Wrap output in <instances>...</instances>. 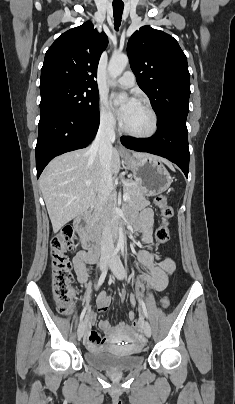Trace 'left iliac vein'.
<instances>
[{"label":"left iliac vein","instance_id":"left-iliac-vein-1","mask_svg":"<svg viewBox=\"0 0 235 404\" xmlns=\"http://www.w3.org/2000/svg\"><path fill=\"white\" fill-rule=\"evenodd\" d=\"M110 268L117 279L122 280L125 278V270L119 256L114 257L113 261L110 264ZM143 331L147 337H151L152 330L150 324L147 321L143 322Z\"/></svg>","mask_w":235,"mask_h":404}]
</instances>
